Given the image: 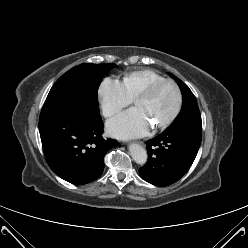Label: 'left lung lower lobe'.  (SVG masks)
<instances>
[{
  "mask_svg": "<svg viewBox=\"0 0 248 248\" xmlns=\"http://www.w3.org/2000/svg\"><path fill=\"white\" fill-rule=\"evenodd\" d=\"M202 128L166 129L146 142L148 161L140 176L157 186L178 181L191 167L201 143Z\"/></svg>",
  "mask_w": 248,
  "mask_h": 248,
  "instance_id": "obj_1",
  "label": "left lung lower lobe"
}]
</instances>
